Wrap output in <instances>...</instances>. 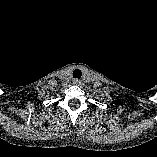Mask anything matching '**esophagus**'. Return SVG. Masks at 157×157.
<instances>
[{
  "mask_svg": "<svg viewBox=\"0 0 157 157\" xmlns=\"http://www.w3.org/2000/svg\"><path fill=\"white\" fill-rule=\"evenodd\" d=\"M81 82H82V81H81L80 79H74V80H73V83L76 84V85H80Z\"/></svg>",
  "mask_w": 157,
  "mask_h": 157,
  "instance_id": "esophagus-1",
  "label": "esophagus"
}]
</instances>
